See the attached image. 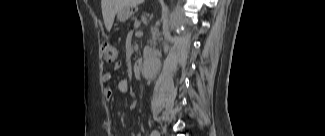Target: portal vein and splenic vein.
<instances>
[{
  "instance_id": "obj_1",
  "label": "portal vein and splenic vein",
  "mask_w": 325,
  "mask_h": 136,
  "mask_svg": "<svg viewBox=\"0 0 325 136\" xmlns=\"http://www.w3.org/2000/svg\"><path fill=\"white\" fill-rule=\"evenodd\" d=\"M134 25L137 27V26L140 25V22L136 20L135 23H134Z\"/></svg>"
}]
</instances>
